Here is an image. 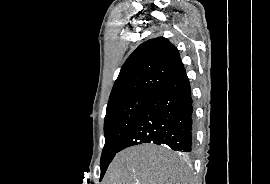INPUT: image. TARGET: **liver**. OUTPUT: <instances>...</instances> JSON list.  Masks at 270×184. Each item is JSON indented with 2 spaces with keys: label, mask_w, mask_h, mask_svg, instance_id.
Segmentation results:
<instances>
[{
  "label": "liver",
  "mask_w": 270,
  "mask_h": 184,
  "mask_svg": "<svg viewBox=\"0 0 270 184\" xmlns=\"http://www.w3.org/2000/svg\"><path fill=\"white\" fill-rule=\"evenodd\" d=\"M188 181V171L174 163L171 152L154 144L119 152L105 175V184H188Z\"/></svg>",
  "instance_id": "obj_1"
}]
</instances>
